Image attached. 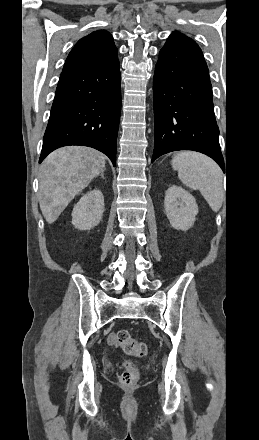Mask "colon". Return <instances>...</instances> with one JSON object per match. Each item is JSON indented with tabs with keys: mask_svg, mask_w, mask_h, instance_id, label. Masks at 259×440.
Masks as SVG:
<instances>
[{
	"mask_svg": "<svg viewBox=\"0 0 259 440\" xmlns=\"http://www.w3.org/2000/svg\"><path fill=\"white\" fill-rule=\"evenodd\" d=\"M116 345L119 346L126 354L135 357H144L148 353V346L144 342H140L132 337L126 329L119 330L116 335ZM125 371L120 377L123 386L128 387L134 384L139 376L138 369L132 361L124 362Z\"/></svg>",
	"mask_w": 259,
	"mask_h": 440,
	"instance_id": "5ec220e1",
	"label": "colon"
}]
</instances>
